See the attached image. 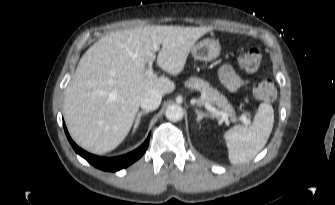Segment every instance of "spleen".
I'll use <instances>...</instances> for the list:
<instances>
[{"mask_svg":"<svg viewBox=\"0 0 335 205\" xmlns=\"http://www.w3.org/2000/svg\"><path fill=\"white\" fill-rule=\"evenodd\" d=\"M274 123V110L269 103L260 104L251 126L236 125L224 133L231 164L252 160L266 145Z\"/></svg>","mask_w":335,"mask_h":205,"instance_id":"3e777b00","label":"spleen"}]
</instances>
